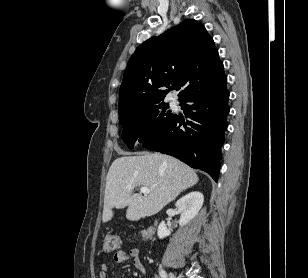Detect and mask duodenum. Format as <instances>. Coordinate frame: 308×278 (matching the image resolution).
Listing matches in <instances>:
<instances>
[{
    "label": "duodenum",
    "instance_id": "410a0bca",
    "mask_svg": "<svg viewBox=\"0 0 308 278\" xmlns=\"http://www.w3.org/2000/svg\"><path fill=\"white\" fill-rule=\"evenodd\" d=\"M155 225H157V222L155 221V223H154Z\"/></svg>",
    "mask_w": 308,
    "mask_h": 278
}]
</instances>
